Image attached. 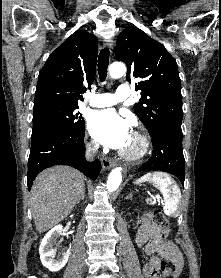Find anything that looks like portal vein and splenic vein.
Instances as JSON below:
<instances>
[{
	"mask_svg": "<svg viewBox=\"0 0 221 278\" xmlns=\"http://www.w3.org/2000/svg\"><path fill=\"white\" fill-rule=\"evenodd\" d=\"M152 198H153L154 201H156V199H159L160 197L158 195H156V196H153ZM146 201H150L151 202L150 199H147Z\"/></svg>",
	"mask_w": 221,
	"mask_h": 278,
	"instance_id": "18ae733b",
	"label": "portal vein and splenic vein"
}]
</instances>
